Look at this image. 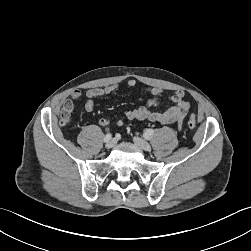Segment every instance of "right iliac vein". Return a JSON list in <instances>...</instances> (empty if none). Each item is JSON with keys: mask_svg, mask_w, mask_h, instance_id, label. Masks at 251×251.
Segmentation results:
<instances>
[{"mask_svg": "<svg viewBox=\"0 0 251 251\" xmlns=\"http://www.w3.org/2000/svg\"><path fill=\"white\" fill-rule=\"evenodd\" d=\"M114 145H115V140L112 139V140H110V141H108V142L106 143L105 147H106L107 149H111L112 147H114Z\"/></svg>", "mask_w": 251, "mask_h": 251, "instance_id": "63e3f726", "label": "right iliac vein"}]
</instances>
